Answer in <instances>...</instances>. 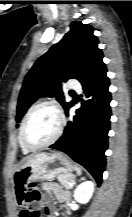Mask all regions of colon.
<instances>
[{"mask_svg": "<svg viewBox=\"0 0 132 217\" xmlns=\"http://www.w3.org/2000/svg\"><path fill=\"white\" fill-rule=\"evenodd\" d=\"M25 201L29 204L38 202L41 198V193L36 184H30L27 190L25 191ZM28 217H39L38 210H31L28 213Z\"/></svg>", "mask_w": 132, "mask_h": 217, "instance_id": "obj_1", "label": "colon"}]
</instances>
